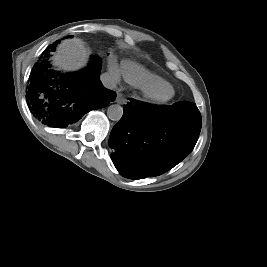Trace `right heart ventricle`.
Returning a JSON list of instances; mask_svg holds the SVG:
<instances>
[{
    "instance_id": "1",
    "label": "right heart ventricle",
    "mask_w": 267,
    "mask_h": 267,
    "mask_svg": "<svg viewBox=\"0 0 267 267\" xmlns=\"http://www.w3.org/2000/svg\"><path fill=\"white\" fill-rule=\"evenodd\" d=\"M122 73L130 84L137 87L143 88L145 86L167 83L160 76L150 72L136 63L129 61L122 63Z\"/></svg>"
}]
</instances>
